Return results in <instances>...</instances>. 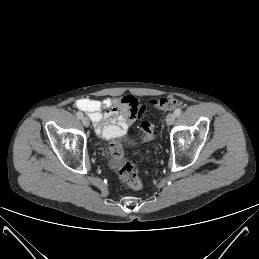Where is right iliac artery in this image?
<instances>
[{"label": "right iliac artery", "mask_w": 259, "mask_h": 259, "mask_svg": "<svg viewBox=\"0 0 259 259\" xmlns=\"http://www.w3.org/2000/svg\"><path fill=\"white\" fill-rule=\"evenodd\" d=\"M76 116H77V118L82 119L83 114H82V112L78 111V112L76 113Z\"/></svg>", "instance_id": "right-iliac-artery-1"}]
</instances>
